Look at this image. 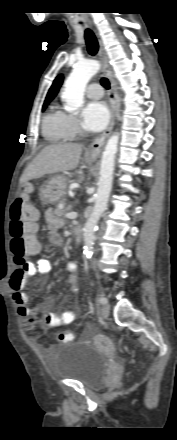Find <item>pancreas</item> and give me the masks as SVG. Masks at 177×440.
I'll return each mask as SVG.
<instances>
[{"label":"pancreas","mask_w":177,"mask_h":440,"mask_svg":"<svg viewBox=\"0 0 177 440\" xmlns=\"http://www.w3.org/2000/svg\"><path fill=\"white\" fill-rule=\"evenodd\" d=\"M64 199H62L60 202L61 203H64ZM55 214L57 215V216H64V214H65V210L63 209V208H60L59 206H57L56 207V209H55Z\"/></svg>","instance_id":"cf45deb5"}]
</instances>
